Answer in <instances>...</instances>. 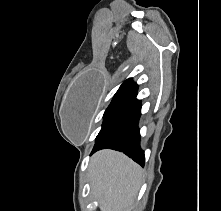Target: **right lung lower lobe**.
Instances as JSON below:
<instances>
[{
	"instance_id": "obj_1",
	"label": "right lung lower lobe",
	"mask_w": 221,
	"mask_h": 211,
	"mask_svg": "<svg viewBox=\"0 0 221 211\" xmlns=\"http://www.w3.org/2000/svg\"><path fill=\"white\" fill-rule=\"evenodd\" d=\"M141 115V101L136 96L124 108L117 119L96 139L91 152L110 148L121 151L138 164L144 166L145 155L140 148L138 121Z\"/></svg>"
}]
</instances>
